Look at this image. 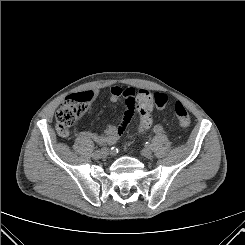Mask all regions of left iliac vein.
<instances>
[{
	"instance_id": "1",
	"label": "left iliac vein",
	"mask_w": 245,
	"mask_h": 245,
	"mask_svg": "<svg viewBox=\"0 0 245 245\" xmlns=\"http://www.w3.org/2000/svg\"><path fill=\"white\" fill-rule=\"evenodd\" d=\"M141 154L143 157L148 158V159L152 157V152L149 149H143Z\"/></svg>"
}]
</instances>
